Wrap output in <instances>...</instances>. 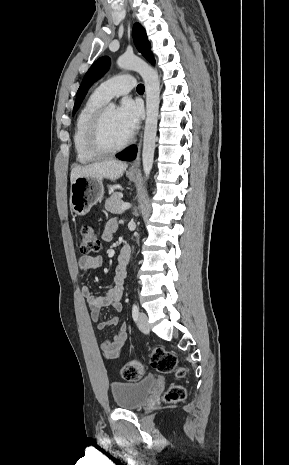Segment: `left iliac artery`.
Masks as SVG:
<instances>
[{
    "mask_svg": "<svg viewBox=\"0 0 289 465\" xmlns=\"http://www.w3.org/2000/svg\"><path fill=\"white\" fill-rule=\"evenodd\" d=\"M138 315H139V308H138V306L136 304H134L133 307H132V317H133L134 321L137 320Z\"/></svg>",
    "mask_w": 289,
    "mask_h": 465,
    "instance_id": "44dca946",
    "label": "left iliac artery"
}]
</instances>
